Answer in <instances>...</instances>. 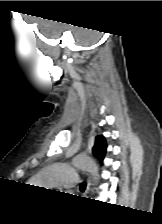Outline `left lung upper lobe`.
I'll use <instances>...</instances> for the list:
<instances>
[{"instance_id": "left-lung-upper-lobe-1", "label": "left lung upper lobe", "mask_w": 162, "mask_h": 224, "mask_svg": "<svg viewBox=\"0 0 162 224\" xmlns=\"http://www.w3.org/2000/svg\"><path fill=\"white\" fill-rule=\"evenodd\" d=\"M107 144L103 136H97L95 145L93 147V154L96 158H98L101 162L104 159L106 153Z\"/></svg>"}]
</instances>
